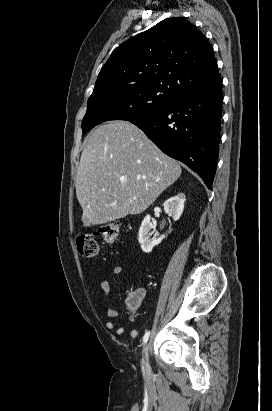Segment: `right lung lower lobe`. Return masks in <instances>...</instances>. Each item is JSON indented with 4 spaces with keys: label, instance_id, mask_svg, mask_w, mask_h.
Returning a JSON list of instances; mask_svg holds the SVG:
<instances>
[{
    "label": "right lung lower lobe",
    "instance_id": "98d812e1",
    "mask_svg": "<svg viewBox=\"0 0 272 411\" xmlns=\"http://www.w3.org/2000/svg\"><path fill=\"white\" fill-rule=\"evenodd\" d=\"M221 83L178 96L160 112L131 121L165 154L199 174L210 190L219 153Z\"/></svg>",
    "mask_w": 272,
    "mask_h": 411
}]
</instances>
